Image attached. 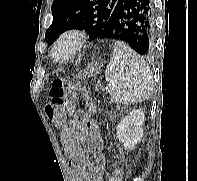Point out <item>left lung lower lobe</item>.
<instances>
[{
  "mask_svg": "<svg viewBox=\"0 0 197 181\" xmlns=\"http://www.w3.org/2000/svg\"><path fill=\"white\" fill-rule=\"evenodd\" d=\"M153 0H118L108 18L100 39L125 42L142 56L154 51Z\"/></svg>",
  "mask_w": 197,
  "mask_h": 181,
  "instance_id": "1",
  "label": "left lung lower lobe"
}]
</instances>
